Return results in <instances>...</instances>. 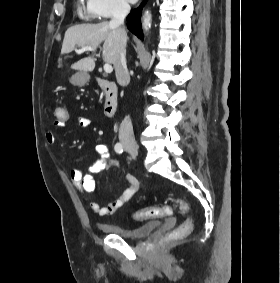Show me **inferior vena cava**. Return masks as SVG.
Instances as JSON below:
<instances>
[{
  "mask_svg": "<svg viewBox=\"0 0 280 283\" xmlns=\"http://www.w3.org/2000/svg\"><path fill=\"white\" fill-rule=\"evenodd\" d=\"M129 12H130V5L127 2L122 1L118 3L114 11L113 17L109 24L123 31L121 26L123 25L124 19ZM115 74H116L117 82L121 86H126L129 84L130 76H129V72H128L127 65H126L125 46L120 51L119 59L115 66ZM119 140L124 146H128V145L135 146L136 145L130 116H126L120 124Z\"/></svg>",
  "mask_w": 280,
  "mask_h": 283,
  "instance_id": "602c4592",
  "label": "inferior vena cava"
}]
</instances>
